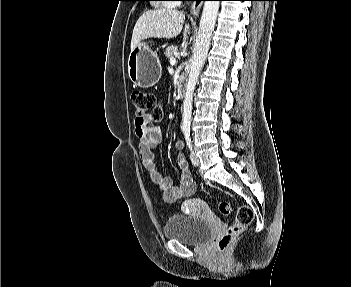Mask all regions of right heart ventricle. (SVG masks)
<instances>
[{"label":"right heart ventricle","mask_w":351,"mask_h":287,"mask_svg":"<svg viewBox=\"0 0 351 287\" xmlns=\"http://www.w3.org/2000/svg\"><path fill=\"white\" fill-rule=\"evenodd\" d=\"M157 7L158 8H169V6L166 4H159V5H157Z\"/></svg>","instance_id":"e07e8e85"}]
</instances>
